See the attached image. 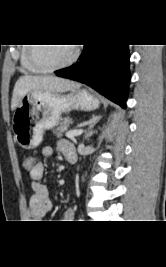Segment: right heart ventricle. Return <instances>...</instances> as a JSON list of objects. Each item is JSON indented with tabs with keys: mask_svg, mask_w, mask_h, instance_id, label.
Here are the masks:
<instances>
[{
	"mask_svg": "<svg viewBox=\"0 0 166 267\" xmlns=\"http://www.w3.org/2000/svg\"><path fill=\"white\" fill-rule=\"evenodd\" d=\"M30 46H23L20 52L21 67L29 73H42L43 71L35 66L29 56Z\"/></svg>",
	"mask_w": 166,
	"mask_h": 267,
	"instance_id": "obj_1",
	"label": "right heart ventricle"
}]
</instances>
